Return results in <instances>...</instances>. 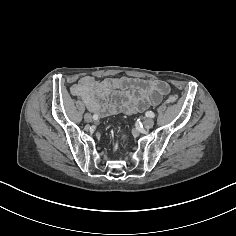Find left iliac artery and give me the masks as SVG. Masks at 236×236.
<instances>
[{
  "mask_svg": "<svg viewBox=\"0 0 236 236\" xmlns=\"http://www.w3.org/2000/svg\"><path fill=\"white\" fill-rule=\"evenodd\" d=\"M145 115L149 118H153L155 116V114L152 111H147Z\"/></svg>",
  "mask_w": 236,
  "mask_h": 236,
  "instance_id": "44dca946",
  "label": "left iliac artery"
}]
</instances>
